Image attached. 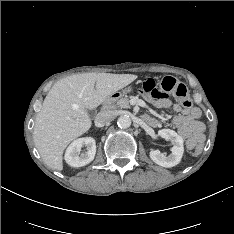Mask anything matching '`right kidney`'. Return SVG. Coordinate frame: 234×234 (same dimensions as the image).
<instances>
[{"mask_svg":"<svg viewBox=\"0 0 234 234\" xmlns=\"http://www.w3.org/2000/svg\"><path fill=\"white\" fill-rule=\"evenodd\" d=\"M85 146V153L81 152V148ZM96 154V142L92 137L78 138L74 140L65 152V161L72 167H81L93 161Z\"/></svg>","mask_w":234,"mask_h":234,"instance_id":"1","label":"right kidney"}]
</instances>
